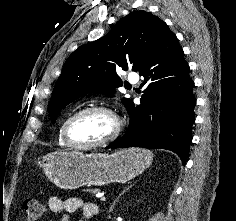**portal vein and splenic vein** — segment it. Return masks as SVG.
Returning a JSON list of instances; mask_svg holds the SVG:
<instances>
[{"label":"portal vein and splenic vein","instance_id":"obj_1","mask_svg":"<svg viewBox=\"0 0 236 221\" xmlns=\"http://www.w3.org/2000/svg\"><path fill=\"white\" fill-rule=\"evenodd\" d=\"M100 201H106V197H101Z\"/></svg>","mask_w":236,"mask_h":221}]
</instances>
